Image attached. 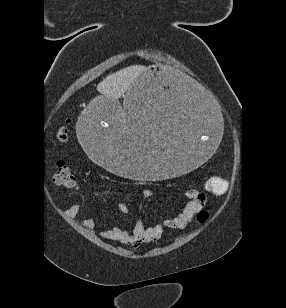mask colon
<instances>
[{
  "instance_id": "obj_1",
  "label": "colon",
  "mask_w": 286,
  "mask_h": 308,
  "mask_svg": "<svg viewBox=\"0 0 286 308\" xmlns=\"http://www.w3.org/2000/svg\"><path fill=\"white\" fill-rule=\"evenodd\" d=\"M57 137L60 142H65L67 140V130L61 129L58 132ZM53 179L58 186L63 188H73L77 184L73 171L63 161H58L56 163L54 167ZM206 188L212 193H224L228 189V182L224 178L213 177L207 182ZM207 218L208 212L206 210H201L198 213L199 222L203 223L207 220Z\"/></svg>"
}]
</instances>
